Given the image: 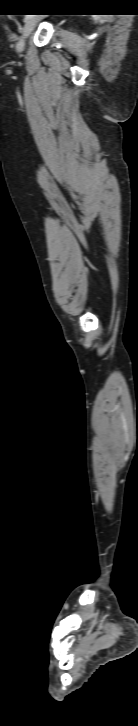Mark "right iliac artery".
<instances>
[{"label":"right iliac artery","mask_w":138,"mask_h":726,"mask_svg":"<svg viewBox=\"0 0 138 726\" xmlns=\"http://www.w3.org/2000/svg\"><path fill=\"white\" fill-rule=\"evenodd\" d=\"M29 18H30L29 16L25 17V21L28 20Z\"/></svg>","instance_id":"obj_1"}]
</instances>
